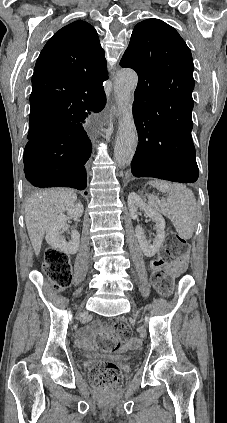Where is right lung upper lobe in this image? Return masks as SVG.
<instances>
[{
	"instance_id": "1",
	"label": "right lung upper lobe",
	"mask_w": 227,
	"mask_h": 423,
	"mask_svg": "<svg viewBox=\"0 0 227 423\" xmlns=\"http://www.w3.org/2000/svg\"><path fill=\"white\" fill-rule=\"evenodd\" d=\"M108 78L106 59L96 30L75 21L60 29L41 51L32 76L30 105L106 101L103 82ZM62 119L30 121L28 140H43L64 129Z\"/></svg>"
}]
</instances>
